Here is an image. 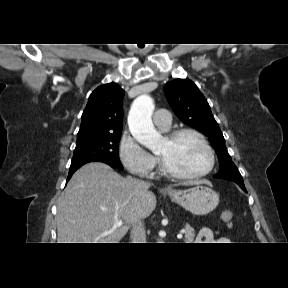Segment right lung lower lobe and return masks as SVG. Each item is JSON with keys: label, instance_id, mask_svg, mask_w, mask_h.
Instances as JSON below:
<instances>
[{"label": "right lung lower lobe", "instance_id": "right-lung-lower-lobe-1", "mask_svg": "<svg viewBox=\"0 0 288 288\" xmlns=\"http://www.w3.org/2000/svg\"><path fill=\"white\" fill-rule=\"evenodd\" d=\"M94 161H99V162H104V161H101V160H92V161H87V162H84V163H80V164H75V165H71L70 166V169H69V174H68V178H67V181H69V179L71 178V176L73 175V173L79 168L81 167L82 165L88 163V162H94ZM106 163V162H104ZM108 164V163H107ZM109 165V164H108ZM111 167H114L112 165H110ZM115 168V167H114Z\"/></svg>", "mask_w": 288, "mask_h": 288}]
</instances>
